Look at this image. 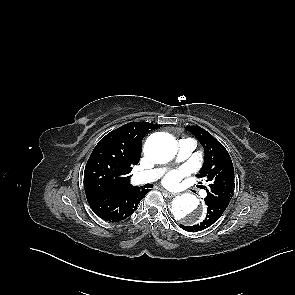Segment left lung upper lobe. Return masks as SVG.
Listing matches in <instances>:
<instances>
[{"label": "left lung upper lobe", "mask_w": 295, "mask_h": 295, "mask_svg": "<svg viewBox=\"0 0 295 295\" xmlns=\"http://www.w3.org/2000/svg\"><path fill=\"white\" fill-rule=\"evenodd\" d=\"M204 147V164L197 174L205 178L208 187L202 186L206 198L230 201L234 193V168L229 153L225 147L209 132L199 126H186Z\"/></svg>", "instance_id": "obj_1"}]
</instances>
